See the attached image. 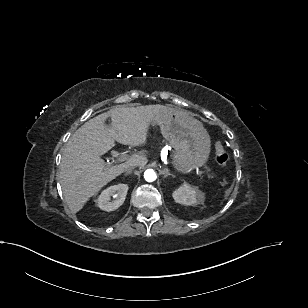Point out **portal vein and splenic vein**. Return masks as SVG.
I'll return each mask as SVG.
<instances>
[{
	"instance_id": "obj_1",
	"label": "portal vein and splenic vein",
	"mask_w": 308,
	"mask_h": 308,
	"mask_svg": "<svg viewBox=\"0 0 308 308\" xmlns=\"http://www.w3.org/2000/svg\"><path fill=\"white\" fill-rule=\"evenodd\" d=\"M125 160L132 161V160H134V158H133V156H128V155H125L123 153L119 154L118 161L122 162V161H125ZM197 174L201 175L202 173L197 172Z\"/></svg>"
}]
</instances>
